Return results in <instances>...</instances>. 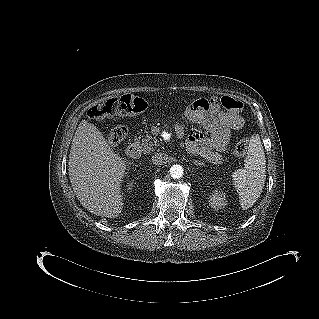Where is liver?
Segmentation results:
<instances>
[{
  "label": "liver",
  "mask_w": 319,
  "mask_h": 319,
  "mask_svg": "<svg viewBox=\"0 0 319 319\" xmlns=\"http://www.w3.org/2000/svg\"><path fill=\"white\" fill-rule=\"evenodd\" d=\"M68 167L73 191L84 208L97 216H119L126 163L87 120L80 122L73 136Z\"/></svg>",
  "instance_id": "6515ba94"
}]
</instances>
